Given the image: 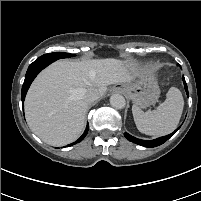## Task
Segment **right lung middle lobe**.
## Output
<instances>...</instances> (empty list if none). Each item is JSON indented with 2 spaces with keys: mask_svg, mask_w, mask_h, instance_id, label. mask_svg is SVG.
<instances>
[{
  "mask_svg": "<svg viewBox=\"0 0 201 201\" xmlns=\"http://www.w3.org/2000/svg\"><path fill=\"white\" fill-rule=\"evenodd\" d=\"M45 55L50 56V57H55L56 59L68 58V57L75 56L74 54H69V53H65V52H54V53H49V54H45Z\"/></svg>",
  "mask_w": 201,
  "mask_h": 201,
  "instance_id": "right-lung-middle-lobe-1",
  "label": "right lung middle lobe"
}]
</instances>
